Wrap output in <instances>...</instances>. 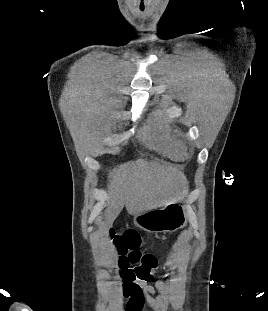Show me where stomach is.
Instances as JSON below:
<instances>
[{"instance_id": "0dacf381", "label": "stomach", "mask_w": 268, "mask_h": 311, "mask_svg": "<svg viewBox=\"0 0 268 311\" xmlns=\"http://www.w3.org/2000/svg\"><path fill=\"white\" fill-rule=\"evenodd\" d=\"M186 206L175 201L134 216V224L147 232H174L186 226Z\"/></svg>"}]
</instances>
